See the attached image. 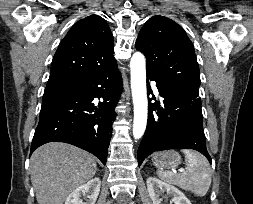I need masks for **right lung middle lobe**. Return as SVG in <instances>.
<instances>
[{"label": "right lung middle lobe", "instance_id": "right-lung-middle-lobe-1", "mask_svg": "<svg viewBox=\"0 0 253 204\" xmlns=\"http://www.w3.org/2000/svg\"><path fill=\"white\" fill-rule=\"evenodd\" d=\"M71 84H72L71 82H48L46 85L44 94L52 92V91H56L59 89H63Z\"/></svg>", "mask_w": 253, "mask_h": 204}]
</instances>
